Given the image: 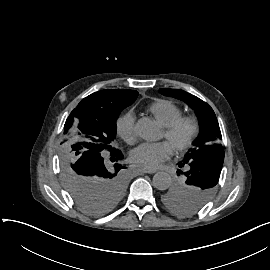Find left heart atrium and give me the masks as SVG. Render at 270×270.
Returning <instances> with one entry per match:
<instances>
[{"instance_id":"obj_1","label":"left heart atrium","mask_w":270,"mask_h":270,"mask_svg":"<svg viewBox=\"0 0 270 270\" xmlns=\"http://www.w3.org/2000/svg\"><path fill=\"white\" fill-rule=\"evenodd\" d=\"M167 143L142 144L132 152V160L142 169L153 170L159 167L171 153Z\"/></svg>"}]
</instances>
